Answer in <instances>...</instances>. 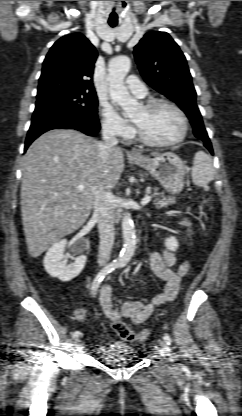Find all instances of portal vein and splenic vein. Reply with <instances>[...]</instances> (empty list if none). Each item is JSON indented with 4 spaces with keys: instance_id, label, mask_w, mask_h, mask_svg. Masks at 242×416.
I'll use <instances>...</instances> for the list:
<instances>
[{
    "instance_id": "18ae733b",
    "label": "portal vein and splenic vein",
    "mask_w": 242,
    "mask_h": 416,
    "mask_svg": "<svg viewBox=\"0 0 242 416\" xmlns=\"http://www.w3.org/2000/svg\"><path fill=\"white\" fill-rule=\"evenodd\" d=\"M78 190L79 191H83L84 190V186L80 185L78 186ZM151 201V196L147 195L145 196L142 200H141V204L142 205H146L147 203H149Z\"/></svg>"
}]
</instances>
